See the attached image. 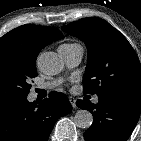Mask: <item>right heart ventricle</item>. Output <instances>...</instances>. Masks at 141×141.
<instances>
[{"instance_id": "right-heart-ventricle-1", "label": "right heart ventricle", "mask_w": 141, "mask_h": 141, "mask_svg": "<svg viewBox=\"0 0 141 141\" xmlns=\"http://www.w3.org/2000/svg\"><path fill=\"white\" fill-rule=\"evenodd\" d=\"M63 45H65V46H69V45H73V44H63Z\"/></svg>"}]
</instances>
